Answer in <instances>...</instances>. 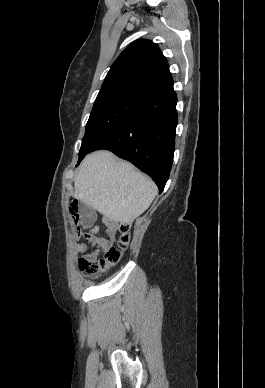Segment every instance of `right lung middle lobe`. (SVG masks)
Instances as JSON below:
<instances>
[{
	"label": "right lung middle lobe",
	"mask_w": 265,
	"mask_h": 388,
	"mask_svg": "<svg viewBox=\"0 0 265 388\" xmlns=\"http://www.w3.org/2000/svg\"><path fill=\"white\" fill-rule=\"evenodd\" d=\"M147 100L129 93L99 92L79 151V160L93 146L132 116Z\"/></svg>",
	"instance_id": "1"
}]
</instances>
